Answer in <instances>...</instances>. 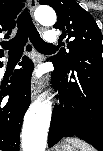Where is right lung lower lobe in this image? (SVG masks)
Listing matches in <instances>:
<instances>
[{"mask_svg":"<svg viewBox=\"0 0 103 151\" xmlns=\"http://www.w3.org/2000/svg\"><path fill=\"white\" fill-rule=\"evenodd\" d=\"M30 47L28 46L27 49ZM4 54H0V57ZM8 82L0 83V149L19 151V136L22 120L31 99V74L33 63L24 57ZM2 63H0V67Z\"/></svg>","mask_w":103,"mask_h":151,"instance_id":"obj_1","label":"right lung lower lobe"}]
</instances>
